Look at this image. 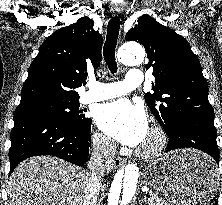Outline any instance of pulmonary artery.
<instances>
[{
	"instance_id": "obj_1",
	"label": "pulmonary artery",
	"mask_w": 222,
	"mask_h": 205,
	"mask_svg": "<svg viewBox=\"0 0 222 205\" xmlns=\"http://www.w3.org/2000/svg\"><path fill=\"white\" fill-rule=\"evenodd\" d=\"M142 72L139 69H130L124 81L113 83L92 82L90 89L84 94L83 102H99L122 96L140 86Z\"/></svg>"
}]
</instances>
